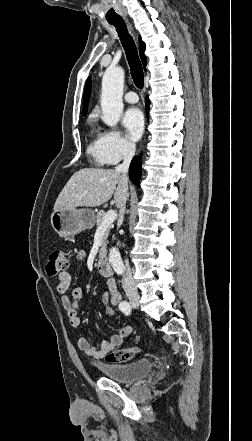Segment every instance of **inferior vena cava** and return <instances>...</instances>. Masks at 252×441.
<instances>
[{"instance_id":"inferior-vena-cava-1","label":"inferior vena cava","mask_w":252,"mask_h":441,"mask_svg":"<svg viewBox=\"0 0 252 441\" xmlns=\"http://www.w3.org/2000/svg\"><path fill=\"white\" fill-rule=\"evenodd\" d=\"M135 155V148L132 146H128L125 149L124 152V161L122 164L118 165L117 167H115V171L120 173L123 180L127 182V173H128V169H129V165L131 163L132 158ZM128 195L126 194L120 205H119V213H120V223L123 222V217L125 214V208H126V201H127ZM122 286L123 289L125 291H132V292H136V287L135 284L133 282V278H132V274H131V269L129 266V262L126 260L125 261V267H124V275L122 278Z\"/></svg>"}]
</instances>
